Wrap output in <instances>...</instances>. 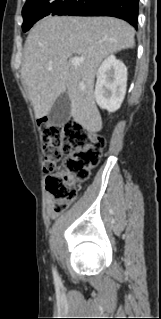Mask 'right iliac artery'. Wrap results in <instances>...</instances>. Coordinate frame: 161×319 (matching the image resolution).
Returning a JSON list of instances; mask_svg holds the SVG:
<instances>
[{"mask_svg":"<svg viewBox=\"0 0 161 319\" xmlns=\"http://www.w3.org/2000/svg\"><path fill=\"white\" fill-rule=\"evenodd\" d=\"M53 277H54V281L56 283H58L60 281V278H59L57 272L55 271V269H53Z\"/></svg>","mask_w":161,"mask_h":319,"instance_id":"1","label":"right iliac artery"}]
</instances>
